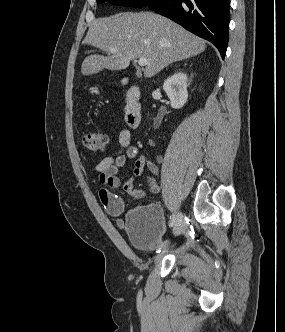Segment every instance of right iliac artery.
<instances>
[{
  "mask_svg": "<svg viewBox=\"0 0 285 332\" xmlns=\"http://www.w3.org/2000/svg\"><path fill=\"white\" fill-rule=\"evenodd\" d=\"M175 220H176V217L174 214L172 216H170V222H169L170 227H172L175 224Z\"/></svg>",
  "mask_w": 285,
  "mask_h": 332,
  "instance_id": "82829eb1",
  "label": "right iliac artery"
}]
</instances>
